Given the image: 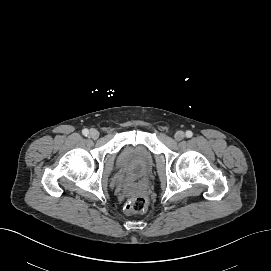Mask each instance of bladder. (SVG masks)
<instances>
[{
    "mask_svg": "<svg viewBox=\"0 0 271 271\" xmlns=\"http://www.w3.org/2000/svg\"><path fill=\"white\" fill-rule=\"evenodd\" d=\"M117 165L132 180H138L145 177L152 169L154 155L146 145L128 143L119 150Z\"/></svg>",
    "mask_w": 271,
    "mask_h": 271,
    "instance_id": "obj_1",
    "label": "bladder"
}]
</instances>
